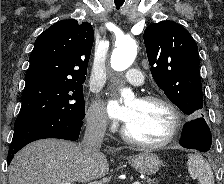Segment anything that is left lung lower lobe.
<instances>
[{
  "label": "left lung lower lobe",
  "mask_w": 224,
  "mask_h": 184,
  "mask_svg": "<svg viewBox=\"0 0 224 184\" xmlns=\"http://www.w3.org/2000/svg\"><path fill=\"white\" fill-rule=\"evenodd\" d=\"M179 143L184 148L197 149L202 152L210 149L212 137L203 117H197L185 124Z\"/></svg>",
  "instance_id": "1"
}]
</instances>
